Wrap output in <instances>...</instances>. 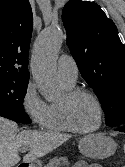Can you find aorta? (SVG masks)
Returning a JSON list of instances; mask_svg holds the SVG:
<instances>
[{
	"instance_id": "obj_1",
	"label": "aorta",
	"mask_w": 125,
	"mask_h": 167,
	"mask_svg": "<svg viewBox=\"0 0 125 167\" xmlns=\"http://www.w3.org/2000/svg\"><path fill=\"white\" fill-rule=\"evenodd\" d=\"M64 34L59 27L46 28L38 37L31 61L33 79L41 95L54 101L60 95L56 79V55L61 48Z\"/></svg>"
}]
</instances>
